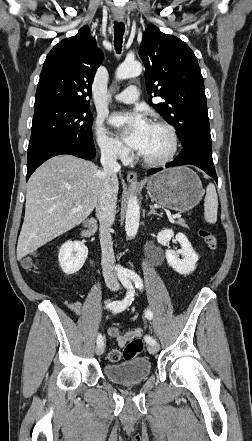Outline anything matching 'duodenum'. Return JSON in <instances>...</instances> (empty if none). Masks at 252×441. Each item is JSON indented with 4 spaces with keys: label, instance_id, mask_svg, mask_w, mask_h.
Instances as JSON below:
<instances>
[{
    "label": "duodenum",
    "instance_id": "1",
    "mask_svg": "<svg viewBox=\"0 0 252 441\" xmlns=\"http://www.w3.org/2000/svg\"><path fill=\"white\" fill-rule=\"evenodd\" d=\"M97 229V224L96 222L92 221L90 223H88L85 228L82 230L81 232V236L83 237H88L90 235H92Z\"/></svg>",
    "mask_w": 252,
    "mask_h": 441
}]
</instances>
